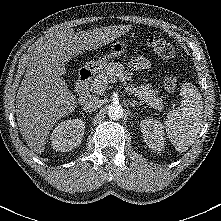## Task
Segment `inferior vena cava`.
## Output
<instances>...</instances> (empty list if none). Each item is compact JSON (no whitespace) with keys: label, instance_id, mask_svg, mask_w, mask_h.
Returning a JSON list of instances; mask_svg holds the SVG:
<instances>
[{"label":"inferior vena cava","instance_id":"inferior-vena-cava-1","mask_svg":"<svg viewBox=\"0 0 221 221\" xmlns=\"http://www.w3.org/2000/svg\"><path fill=\"white\" fill-rule=\"evenodd\" d=\"M102 105V100L97 97H93L86 101L83 105V110L86 112H93Z\"/></svg>","mask_w":221,"mask_h":221}]
</instances>
